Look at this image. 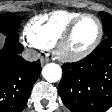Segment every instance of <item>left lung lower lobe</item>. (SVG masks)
<instances>
[{"mask_svg":"<svg viewBox=\"0 0 112 112\" xmlns=\"http://www.w3.org/2000/svg\"><path fill=\"white\" fill-rule=\"evenodd\" d=\"M62 70L58 92L72 112H104L112 106V37Z\"/></svg>","mask_w":112,"mask_h":112,"instance_id":"obj_1","label":"left lung lower lobe"}]
</instances>
